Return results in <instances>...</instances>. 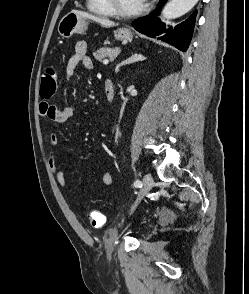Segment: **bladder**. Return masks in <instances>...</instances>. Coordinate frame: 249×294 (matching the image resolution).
<instances>
[{"label": "bladder", "instance_id": "obj_1", "mask_svg": "<svg viewBox=\"0 0 249 294\" xmlns=\"http://www.w3.org/2000/svg\"><path fill=\"white\" fill-rule=\"evenodd\" d=\"M119 236V233L115 229L108 230L105 235L104 239L106 241H115Z\"/></svg>", "mask_w": 249, "mask_h": 294}]
</instances>
